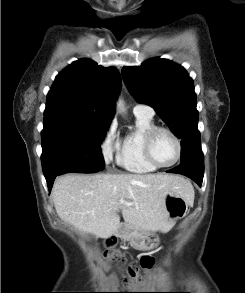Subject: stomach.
<instances>
[{
	"instance_id": "1",
	"label": "stomach",
	"mask_w": 245,
	"mask_h": 293,
	"mask_svg": "<svg viewBox=\"0 0 245 293\" xmlns=\"http://www.w3.org/2000/svg\"><path fill=\"white\" fill-rule=\"evenodd\" d=\"M166 210L169 220H177L186 216L188 208L191 205L187 198L169 193L165 199ZM116 235L128 240L135 249L148 251L157 245L158 237L154 232L139 231L136 229L120 228Z\"/></svg>"
}]
</instances>
